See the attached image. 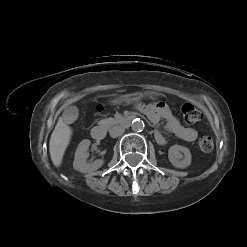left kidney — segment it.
Listing matches in <instances>:
<instances>
[{
    "label": "left kidney",
    "mask_w": 247,
    "mask_h": 247,
    "mask_svg": "<svg viewBox=\"0 0 247 247\" xmlns=\"http://www.w3.org/2000/svg\"><path fill=\"white\" fill-rule=\"evenodd\" d=\"M168 158L171 164L176 168L185 169L191 164V152L184 146H171L168 150Z\"/></svg>",
    "instance_id": "left-kidney-1"
}]
</instances>
